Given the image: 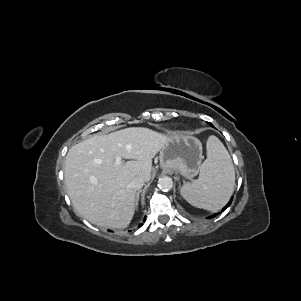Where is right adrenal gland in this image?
<instances>
[{
    "label": "right adrenal gland",
    "mask_w": 301,
    "mask_h": 301,
    "mask_svg": "<svg viewBox=\"0 0 301 301\" xmlns=\"http://www.w3.org/2000/svg\"><path fill=\"white\" fill-rule=\"evenodd\" d=\"M140 192H141V190H139V191L136 193V199H135V206H136V209H137V207H138Z\"/></svg>",
    "instance_id": "right-adrenal-gland-1"
}]
</instances>
